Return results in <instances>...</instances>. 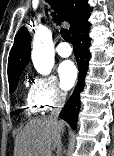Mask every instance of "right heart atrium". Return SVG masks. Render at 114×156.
<instances>
[{"label":"right heart atrium","mask_w":114,"mask_h":156,"mask_svg":"<svg viewBox=\"0 0 114 156\" xmlns=\"http://www.w3.org/2000/svg\"><path fill=\"white\" fill-rule=\"evenodd\" d=\"M30 94L42 110H49L64 103L66 95L52 75L33 78Z\"/></svg>","instance_id":"1"}]
</instances>
